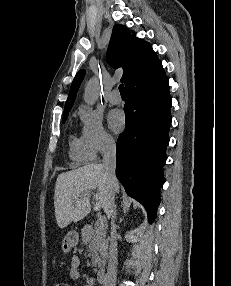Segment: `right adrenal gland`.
Instances as JSON below:
<instances>
[{
    "instance_id": "1",
    "label": "right adrenal gland",
    "mask_w": 231,
    "mask_h": 286,
    "mask_svg": "<svg viewBox=\"0 0 231 286\" xmlns=\"http://www.w3.org/2000/svg\"><path fill=\"white\" fill-rule=\"evenodd\" d=\"M114 218H117V209H116V206H115V209H114Z\"/></svg>"
}]
</instances>
